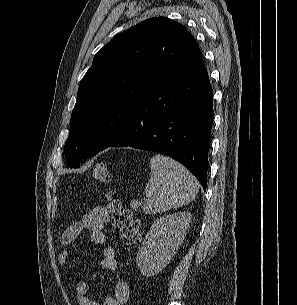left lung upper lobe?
I'll use <instances>...</instances> for the list:
<instances>
[{
  "label": "left lung upper lobe",
  "mask_w": 297,
  "mask_h": 305,
  "mask_svg": "<svg viewBox=\"0 0 297 305\" xmlns=\"http://www.w3.org/2000/svg\"><path fill=\"white\" fill-rule=\"evenodd\" d=\"M202 68L196 40L171 19L150 18L113 38L80 82L65 143L67 163L79 168L83 158L108 146L156 86Z\"/></svg>",
  "instance_id": "1"
}]
</instances>
